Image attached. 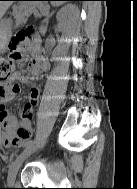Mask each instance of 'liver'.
<instances>
[{
	"mask_svg": "<svg viewBox=\"0 0 137 189\" xmlns=\"http://www.w3.org/2000/svg\"><path fill=\"white\" fill-rule=\"evenodd\" d=\"M12 4L11 1H0V19L3 17L7 9Z\"/></svg>",
	"mask_w": 137,
	"mask_h": 189,
	"instance_id": "6515ba94",
	"label": "liver"
}]
</instances>
